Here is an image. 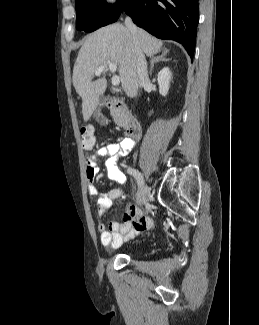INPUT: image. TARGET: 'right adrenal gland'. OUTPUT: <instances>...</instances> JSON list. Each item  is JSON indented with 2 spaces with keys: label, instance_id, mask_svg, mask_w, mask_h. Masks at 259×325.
<instances>
[{
  "label": "right adrenal gland",
  "instance_id": "1",
  "mask_svg": "<svg viewBox=\"0 0 259 325\" xmlns=\"http://www.w3.org/2000/svg\"><path fill=\"white\" fill-rule=\"evenodd\" d=\"M166 55H167V51L164 50L161 55H159L157 57H152L150 59V71H149L150 76L152 75V71H153V67H154L155 63L160 62V61H168V59L165 58Z\"/></svg>",
  "mask_w": 259,
  "mask_h": 325
}]
</instances>
